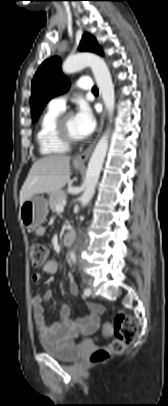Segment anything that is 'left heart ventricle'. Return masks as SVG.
Returning <instances> with one entry per match:
<instances>
[{
	"mask_svg": "<svg viewBox=\"0 0 168 406\" xmlns=\"http://www.w3.org/2000/svg\"><path fill=\"white\" fill-rule=\"evenodd\" d=\"M66 128L67 131L70 133L71 136L75 138H80V135L78 133L75 120H74V115L70 116L67 121H66Z\"/></svg>",
	"mask_w": 168,
	"mask_h": 406,
	"instance_id": "b2bd125f",
	"label": "left heart ventricle"
}]
</instances>
